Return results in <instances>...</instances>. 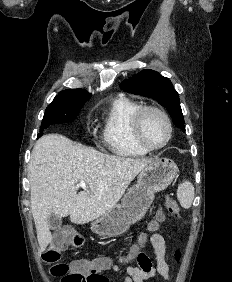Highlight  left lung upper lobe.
Segmentation results:
<instances>
[{
    "instance_id": "obj_1",
    "label": "left lung upper lobe",
    "mask_w": 232,
    "mask_h": 282,
    "mask_svg": "<svg viewBox=\"0 0 232 282\" xmlns=\"http://www.w3.org/2000/svg\"><path fill=\"white\" fill-rule=\"evenodd\" d=\"M126 92L151 97L165 107L173 123L185 132L184 118L180 107L179 94L171 81L153 70H143L120 84Z\"/></svg>"
}]
</instances>
